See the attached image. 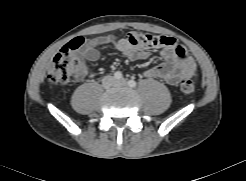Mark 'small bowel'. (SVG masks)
Masks as SVG:
<instances>
[{
    "label": "small bowel",
    "instance_id": "c3829d8e",
    "mask_svg": "<svg viewBox=\"0 0 246 181\" xmlns=\"http://www.w3.org/2000/svg\"><path fill=\"white\" fill-rule=\"evenodd\" d=\"M139 33L132 32L126 37L115 40L112 36H100L87 41L79 50L78 56L84 61H97L99 59L98 47L114 43L116 50L130 59H142L149 56L146 47L153 46L160 51L163 62L158 66L147 69L144 72L147 78H158L169 85H177L182 80L195 75L196 64L194 59L187 54L186 49L171 36H160L156 41L147 44L134 42ZM80 76H94L88 73L82 64Z\"/></svg>",
    "mask_w": 246,
    "mask_h": 181
}]
</instances>
